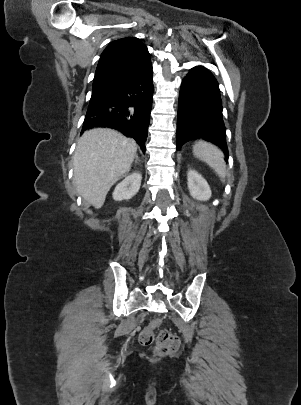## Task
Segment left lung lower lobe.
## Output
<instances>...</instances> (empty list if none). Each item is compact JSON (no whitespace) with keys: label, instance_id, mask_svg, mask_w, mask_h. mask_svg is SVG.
<instances>
[{"label":"left lung lower lobe","instance_id":"0a47b994","mask_svg":"<svg viewBox=\"0 0 301 405\" xmlns=\"http://www.w3.org/2000/svg\"><path fill=\"white\" fill-rule=\"evenodd\" d=\"M176 139L177 148L190 140L210 142L228 158L219 85L203 66L192 68L182 81Z\"/></svg>","mask_w":301,"mask_h":405}]
</instances>
